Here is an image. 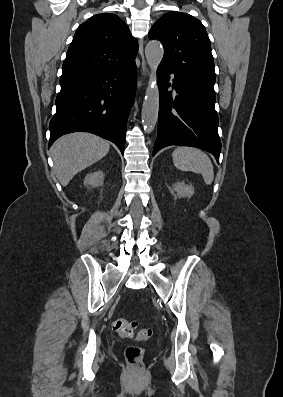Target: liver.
Listing matches in <instances>:
<instances>
[{"label": "liver", "instance_id": "liver-1", "mask_svg": "<svg viewBox=\"0 0 283 397\" xmlns=\"http://www.w3.org/2000/svg\"><path fill=\"white\" fill-rule=\"evenodd\" d=\"M109 149L108 141L90 133L62 136L51 148L56 177L63 186H67L78 172L106 156Z\"/></svg>", "mask_w": 283, "mask_h": 397}]
</instances>
